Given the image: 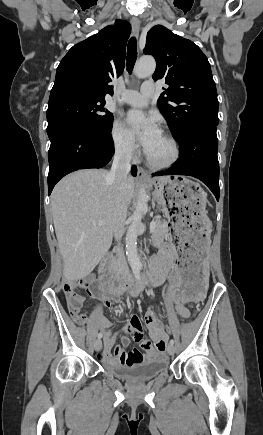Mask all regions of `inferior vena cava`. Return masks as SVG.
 <instances>
[{
  "mask_svg": "<svg viewBox=\"0 0 263 435\" xmlns=\"http://www.w3.org/2000/svg\"><path fill=\"white\" fill-rule=\"evenodd\" d=\"M130 160H131V153L129 150L125 152L116 153L113 159L111 170L106 177L107 181L111 182L114 186L116 199L119 208L124 216H126L127 213V202L125 201V193H126V180L131 169ZM114 236L117 241L121 239L122 231L120 227H117L114 230ZM115 252H116L117 262L120 270L123 273L127 274L129 272V268L120 244L116 246Z\"/></svg>",
  "mask_w": 263,
  "mask_h": 435,
  "instance_id": "1",
  "label": "inferior vena cava"
}]
</instances>
